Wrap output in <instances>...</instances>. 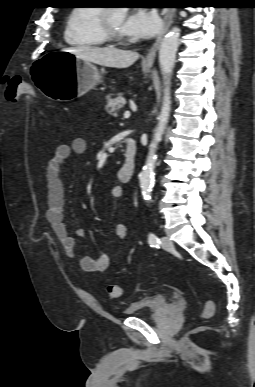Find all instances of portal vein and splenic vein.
<instances>
[{
  "label": "portal vein and splenic vein",
  "instance_id": "18ae733b",
  "mask_svg": "<svg viewBox=\"0 0 255 387\" xmlns=\"http://www.w3.org/2000/svg\"><path fill=\"white\" fill-rule=\"evenodd\" d=\"M130 115H131L130 111L127 110V111L124 112V117L125 118H129Z\"/></svg>",
  "mask_w": 255,
  "mask_h": 387
}]
</instances>
